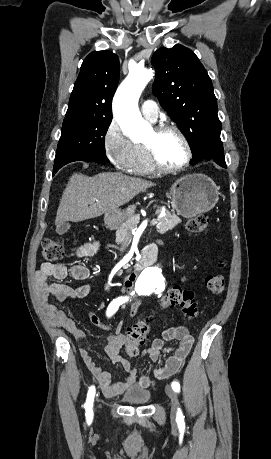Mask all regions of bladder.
Masks as SVG:
<instances>
[{"label":"bladder","instance_id":"obj_1","mask_svg":"<svg viewBox=\"0 0 271 459\" xmlns=\"http://www.w3.org/2000/svg\"><path fill=\"white\" fill-rule=\"evenodd\" d=\"M150 398V392L140 389L131 390L123 395V399L130 405L146 404Z\"/></svg>","mask_w":271,"mask_h":459}]
</instances>
